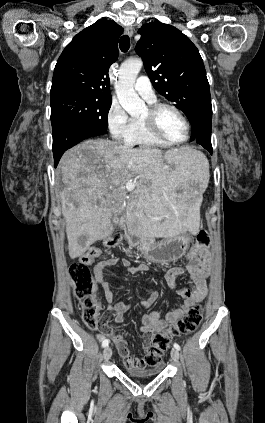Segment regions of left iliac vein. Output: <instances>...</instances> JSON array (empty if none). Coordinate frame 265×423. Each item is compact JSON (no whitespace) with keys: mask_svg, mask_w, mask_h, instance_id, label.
<instances>
[{"mask_svg":"<svg viewBox=\"0 0 265 423\" xmlns=\"http://www.w3.org/2000/svg\"><path fill=\"white\" fill-rule=\"evenodd\" d=\"M171 358L173 361L177 362L179 359V351L177 349L171 350Z\"/></svg>","mask_w":265,"mask_h":423,"instance_id":"obj_1","label":"left iliac vein"}]
</instances>
